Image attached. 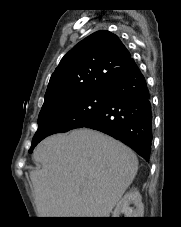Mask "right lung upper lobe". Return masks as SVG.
I'll list each match as a JSON object with an SVG mask.
<instances>
[{
    "instance_id": "right-lung-upper-lobe-1",
    "label": "right lung upper lobe",
    "mask_w": 181,
    "mask_h": 227,
    "mask_svg": "<svg viewBox=\"0 0 181 227\" xmlns=\"http://www.w3.org/2000/svg\"><path fill=\"white\" fill-rule=\"evenodd\" d=\"M134 61L119 38L97 31L75 45L52 74L42 109L60 100L108 89Z\"/></svg>"
}]
</instances>
